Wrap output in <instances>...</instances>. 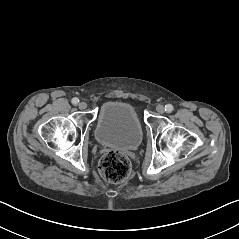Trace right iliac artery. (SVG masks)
<instances>
[{"mask_svg":"<svg viewBox=\"0 0 239 239\" xmlns=\"http://www.w3.org/2000/svg\"><path fill=\"white\" fill-rule=\"evenodd\" d=\"M71 102H72L73 105H77L78 102H79V99L75 97V98L72 99Z\"/></svg>","mask_w":239,"mask_h":239,"instance_id":"82829eb1","label":"right iliac artery"}]
</instances>
